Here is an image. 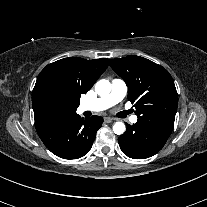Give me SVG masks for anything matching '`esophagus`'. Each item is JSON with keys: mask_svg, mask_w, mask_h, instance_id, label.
I'll use <instances>...</instances> for the list:
<instances>
[{"mask_svg": "<svg viewBox=\"0 0 207 207\" xmlns=\"http://www.w3.org/2000/svg\"><path fill=\"white\" fill-rule=\"evenodd\" d=\"M112 118H110V117H105L104 118V121L106 122V123H111L112 122Z\"/></svg>", "mask_w": 207, "mask_h": 207, "instance_id": "obj_1", "label": "esophagus"}]
</instances>
